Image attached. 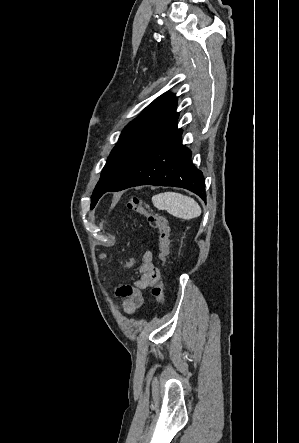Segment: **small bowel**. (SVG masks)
Returning <instances> with one entry per match:
<instances>
[{
	"label": "small bowel",
	"instance_id": "c3829d8e",
	"mask_svg": "<svg viewBox=\"0 0 299 443\" xmlns=\"http://www.w3.org/2000/svg\"><path fill=\"white\" fill-rule=\"evenodd\" d=\"M138 264L139 278L132 284H123L114 288L116 297L122 300L119 309L126 315H133L143 304V291L154 284L160 276L159 270L153 263V253L146 251L129 260H120L119 265L126 270Z\"/></svg>",
	"mask_w": 299,
	"mask_h": 443
}]
</instances>
